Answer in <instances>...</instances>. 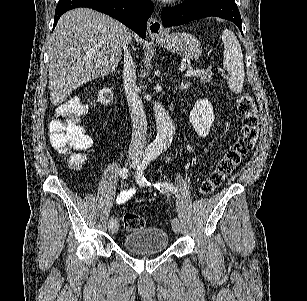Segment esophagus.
<instances>
[{
	"label": "esophagus",
	"mask_w": 307,
	"mask_h": 301,
	"mask_svg": "<svg viewBox=\"0 0 307 301\" xmlns=\"http://www.w3.org/2000/svg\"><path fill=\"white\" fill-rule=\"evenodd\" d=\"M147 29L152 40H161L163 38V27L161 22L157 18H150L147 24Z\"/></svg>",
	"instance_id": "34e87169"
}]
</instances>
